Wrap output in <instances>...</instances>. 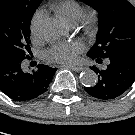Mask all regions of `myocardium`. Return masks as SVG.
<instances>
[{
  "instance_id": "f54148a6",
  "label": "myocardium",
  "mask_w": 135,
  "mask_h": 135,
  "mask_svg": "<svg viewBox=\"0 0 135 135\" xmlns=\"http://www.w3.org/2000/svg\"><path fill=\"white\" fill-rule=\"evenodd\" d=\"M97 20L95 11H88L82 15L83 27L86 31H90L94 28Z\"/></svg>"
}]
</instances>
